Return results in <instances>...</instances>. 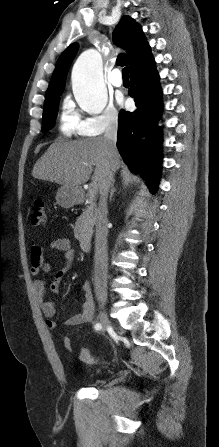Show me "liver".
<instances>
[{"instance_id": "1", "label": "liver", "mask_w": 219, "mask_h": 447, "mask_svg": "<svg viewBox=\"0 0 219 447\" xmlns=\"http://www.w3.org/2000/svg\"><path fill=\"white\" fill-rule=\"evenodd\" d=\"M113 160L116 170L119 169L122 161L117 150ZM93 166L92 181L100 189L110 167L103 137L53 143L35 163L32 175L36 179L75 187L89 180Z\"/></svg>"}]
</instances>
